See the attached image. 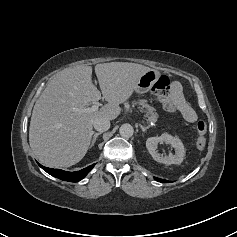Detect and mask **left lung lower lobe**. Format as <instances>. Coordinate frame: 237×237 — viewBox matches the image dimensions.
I'll return each mask as SVG.
<instances>
[{"mask_svg": "<svg viewBox=\"0 0 237 237\" xmlns=\"http://www.w3.org/2000/svg\"><path fill=\"white\" fill-rule=\"evenodd\" d=\"M155 179H156L157 181L161 182V183L168 182V181H165V180L160 179V178H157V177H155Z\"/></svg>", "mask_w": 237, "mask_h": 237, "instance_id": "1", "label": "left lung lower lobe"}]
</instances>
